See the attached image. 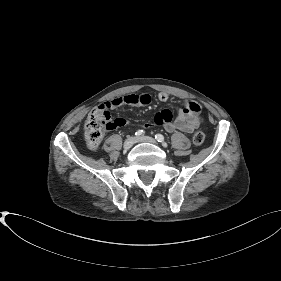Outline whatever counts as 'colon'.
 Returning <instances> with one entry per match:
<instances>
[{"instance_id":"1","label":"colon","mask_w":281,"mask_h":281,"mask_svg":"<svg viewBox=\"0 0 281 281\" xmlns=\"http://www.w3.org/2000/svg\"><path fill=\"white\" fill-rule=\"evenodd\" d=\"M117 127L116 119H113L106 110L93 109L84 124V136L86 144L90 150H96L103 140L107 130ZM205 135L201 131L193 134L192 141L194 145L200 146L204 143Z\"/></svg>"}]
</instances>
